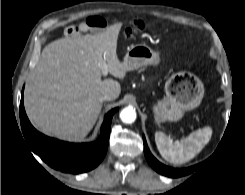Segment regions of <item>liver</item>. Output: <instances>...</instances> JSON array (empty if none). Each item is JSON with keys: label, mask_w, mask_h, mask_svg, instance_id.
<instances>
[{"label": "liver", "mask_w": 245, "mask_h": 195, "mask_svg": "<svg viewBox=\"0 0 245 195\" xmlns=\"http://www.w3.org/2000/svg\"><path fill=\"white\" fill-rule=\"evenodd\" d=\"M121 27L116 23L96 35L62 38L45 46L24 92L27 116L39 131L77 141L94 126L102 109L100 96L119 97L120 84L101 76L103 65L120 79L129 70L117 56Z\"/></svg>", "instance_id": "1"}]
</instances>
